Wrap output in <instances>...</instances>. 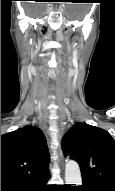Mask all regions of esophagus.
Returning <instances> with one entry per match:
<instances>
[{"mask_svg":"<svg viewBox=\"0 0 115 191\" xmlns=\"http://www.w3.org/2000/svg\"><path fill=\"white\" fill-rule=\"evenodd\" d=\"M57 157H58V161H60V157H61V149L60 148H57Z\"/></svg>","mask_w":115,"mask_h":191,"instance_id":"34e87169","label":"esophagus"}]
</instances>
